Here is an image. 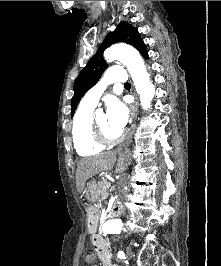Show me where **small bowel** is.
I'll list each match as a JSON object with an SVG mask.
<instances>
[{"instance_id":"obj_1","label":"small bowel","mask_w":221,"mask_h":266,"mask_svg":"<svg viewBox=\"0 0 221 266\" xmlns=\"http://www.w3.org/2000/svg\"><path fill=\"white\" fill-rule=\"evenodd\" d=\"M91 243L103 266H116L112 262L110 245L105 241L103 235L93 233Z\"/></svg>"}]
</instances>
